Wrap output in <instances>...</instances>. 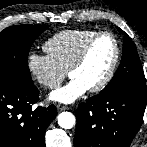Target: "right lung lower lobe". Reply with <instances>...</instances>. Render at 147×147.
I'll return each mask as SVG.
<instances>
[{"mask_svg": "<svg viewBox=\"0 0 147 147\" xmlns=\"http://www.w3.org/2000/svg\"><path fill=\"white\" fill-rule=\"evenodd\" d=\"M39 91L31 83L0 79V147H44L45 131L56 116V107H37Z\"/></svg>", "mask_w": 147, "mask_h": 147, "instance_id": "obj_1", "label": "right lung lower lobe"}]
</instances>
